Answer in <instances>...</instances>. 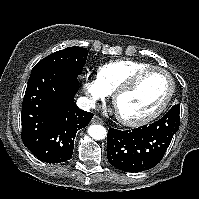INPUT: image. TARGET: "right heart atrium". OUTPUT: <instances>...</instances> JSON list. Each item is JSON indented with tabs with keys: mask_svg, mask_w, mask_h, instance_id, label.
<instances>
[{
	"mask_svg": "<svg viewBox=\"0 0 199 199\" xmlns=\"http://www.w3.org/2000/svg\"><path fill=\"white\" fill-rule=\"evenodd\" d=\"M90 106L94 107L99 100L106 98L109 93L97 78L87 79L82 85Z\"/></svg>",
	"mask_w": 199,
	"mask_h": 199,
	"instance_id": "right-heart-atrium-1",
	"label": "right heart atrium"
}]
</instances>
